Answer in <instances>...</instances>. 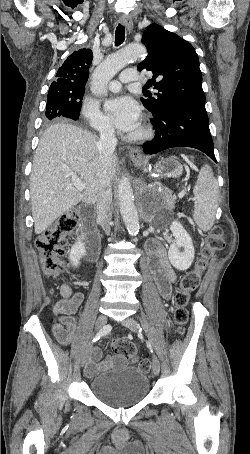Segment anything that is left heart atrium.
<instances>
[{
    "label": "left heart atrium",
    "mask_w": 250,
    "mask_h": 454,
    "mask_svg": "<svg viewBox=\"0 0 250 454\" xmlns=\"http://www.w3.org/2000/svg\"><path fill=\"white\" fill-rule=\"evenodd\" d=\"M105 111L117 129L130 133L139 126L140 108L129 96H116L108 99Z\"/></svg>",
    "instance_id": "39dd6f15"
}]
</instances>
